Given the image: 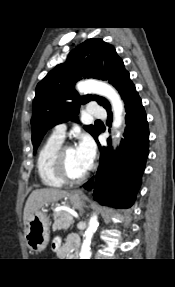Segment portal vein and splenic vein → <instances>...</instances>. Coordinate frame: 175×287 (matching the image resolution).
<instances>
[{"mask_svg":"<svg viewBox=\"0 0 175 287\" xmlns=\"http://www.w3.org/2000/svg\"><path fill=\"white\" fill-rule=\"evenodd\" d=\"M68 218H69L70 220H73V216H71V215H70Z\"/></svg>","mask_w":175,"mask_h":287,"instance_id":"1","label":"portal vein and splenic vein"}]
</instances>
